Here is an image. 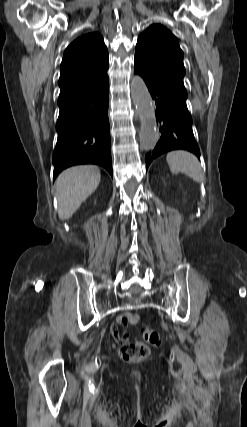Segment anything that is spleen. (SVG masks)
<instances>
[{
	"mask_svg": "<svg viewBox=\"0 0 247 427\" xmlns=\"http://www.w3.org/2000/svg\"><path fill=\"white\" fill-rule=\"evenodd\" d=\"M170 171L173 174L184 173L195 182L204 180V173L196 156L190 152L176 150L169 152L166 157Z\"/></svg>",
	"mask_w": 247,
	"mask_h": 427,
	"instance_id": "1",
	"label": "spleen"
}]
</instances>
